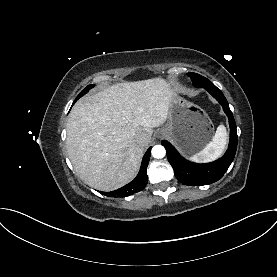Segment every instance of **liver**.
Listing matches in <instances>:
<instances>
[{
	"instance_id": "liver-1",
	"label": "liver",
	"mask_w": 277,
	"mask_h": 277,
	"mask_svg": "<svg viewBox=\"0 0 277 277\" xmlns=\"http://www.w3.org/2000/svg\"><path fill=\"white\" fill-rule=\"evenodd\" d=\"M176 91L162 78L112 85L82 97L67 121L68 156L89 186L112 191L137 174L153 128L165 123ZM145 132L148 142L135 141Z\"/></svg>"
}]
</instances>
